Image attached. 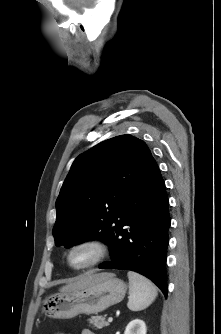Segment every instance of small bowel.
Masks as SVG:
<instances>
[{
    "label": "small bowel",
    "instance_id": "c3829d8e",
    "mask_svg": "<svg viewBox=\"0 0 221 334\" xmlns=\"http://www.w3.org/2000/svg\"><path fill=\"white\" fill-rule=\"evenodd\" d=\"M57 334H64V333H57ZM81 334H94V333L89 329H83L81 331Z\"/></svg>",
    "mask_w": 221,
    "mask_h": 334
}]
</instances>
